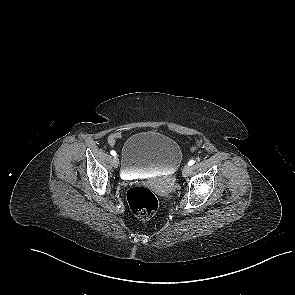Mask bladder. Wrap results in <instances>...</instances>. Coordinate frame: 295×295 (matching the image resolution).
<instances>
[{
	"label": "bladder",
	"mask_w": 295,
	"mask_h": 295,
	"mask_svg": "<svg viewBox=\"0 0 295 295\" xmlns=\"http://www.w3.org/2000/svg\"><path fill=\"white\" fill-rule=\"evenodd\" d=\"M182 162V151L173 139L144 131L130 136L121 150L122 175L134 177L143 173H174Z\"/></svg>",
	"instance_id": "31cf9c89"
}]
</instances>
